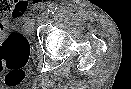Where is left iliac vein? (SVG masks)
I'll list each match as a JSON object with an SVG mask.
<instances>
[{
    "mask_svg": "<svg viewBox=\"0 0 131 89\" xmlns=\"http://www.w3.org/2000/svg\"><path fill=\"white\" fill-rule=\"evenodd\" d=\"M48 16H49V13L47 11H44L42 13L41 17L39 18V23L47 21Z\"/></svg>",
    "mask_w": 131,
    "mask_h": 89,
    "instance_id": "left-iliac-vein-1",
    "label": "left iliac vein"
}]
</instances>
